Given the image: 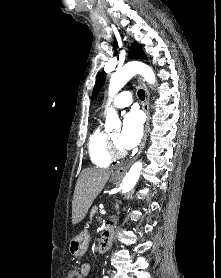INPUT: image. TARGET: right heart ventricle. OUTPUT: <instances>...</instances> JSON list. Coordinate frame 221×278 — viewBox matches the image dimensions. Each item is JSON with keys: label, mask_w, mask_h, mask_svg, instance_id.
Listing matches in <instances>:
<instances>
[{"label": "right heart ventricle", "mask_w": 221, "mask_h": 278, "mask_svg": "<svg viewBox=\"0 0 221 278\" xmlns=\"http://www.w3.org/2000/svg\"><path fill=\"white\" fill-rule=\"evenodd\" d=\"M108 135L100 125L91 132L88 139V151L92 163L98 167H108L112 161L108 150Z\"/></svg>", "instance_id": "e07e8e85"}]
</instances>
